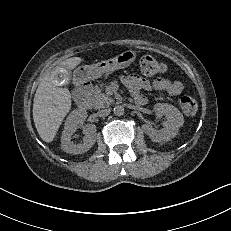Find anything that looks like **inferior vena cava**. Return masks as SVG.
<instances>
[{"mask_svg": "<svg viewBox=\"0 0 231 231\" xmlns=\"http://www.w3.org/2000/svg\"><path fill=\"white\" fill-rule=\"evenodd\" d=\"M110 111H111L110 109H102L97 112V115L99 117H106L110 114Z\"/></svg>", "mask_w": 231, "mask_h": 231, "instance_id": "602c4592", "label": "inferior vena cava"}]
</instances>
